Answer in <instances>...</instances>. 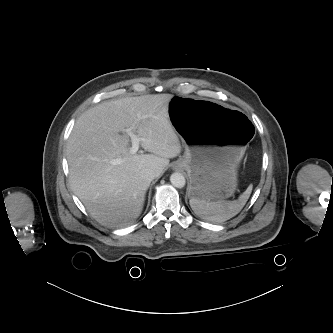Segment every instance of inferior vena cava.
Instances as JSON below:
<instances>
[{
	"label": "inferior vena cava",
	"mask_w": 333,
	"mask_h": 333,
	"mask_svg": "<svg viewBox=\"0 0 333 333\" xmlns=\"http://www.w3.org/2000/svg\"><path fill=\"white\" fill-rule=\"evenodd\" d=\"M157 176H158V172L153 169H142L139 172L140 179L143 181H146V182H151Z\"/></svg>",
	"instance_id": "1"
}]
</instances>
